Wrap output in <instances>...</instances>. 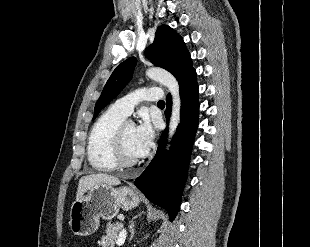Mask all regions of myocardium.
Instances as JSON below:
<instances>
[{
  "label": "myocardium",
  "instance_id": "1",
  "mask_svg": "<svg viewBox=\"0 0 310 247\" xmlns=\"http://www.w3.org/2000/svg\"><path fill=\"white\" fill-rule=\"evenodd\" d=\"M127 121L122 122L116 130L113 144V156L118 167H132L140 162V158L131 159L127 157L124 147V133Z\"/></svg>",
  "mask_w": 310,
  "mask_h": 247
}]
</instances>
